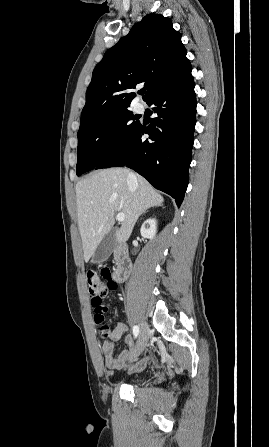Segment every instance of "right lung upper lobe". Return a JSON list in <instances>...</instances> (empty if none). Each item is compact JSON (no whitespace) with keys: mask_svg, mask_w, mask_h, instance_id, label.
<instances>
[{"mask_svg":"<svg viewBox=\"0 0 269 447\" xmlns=\"http://www.w3.org/2000/svg\"><path fill=\"white\" fill-rule=\"evenodd\" d=\"M181 34L169 18L148 14L129 34L110 48L93 71L86 93L80 127L97 117L130 106L139 83L147 89L143 99L187 64Z\"/></svg>","mask_w":269,"mask_h":447,"instance_id":"obj_1","label":"right lung upper lobe"}]
</instances>
